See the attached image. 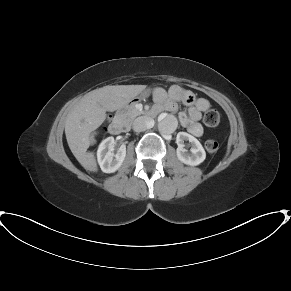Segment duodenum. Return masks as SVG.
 <instances>
[{"instance_id": "obj_1", "label": "duodenum", "mask_w": 291, "mask_h": 291, "mask_svg": "<svg viewBox=\"0 0 291 291\" xmlns=\"http://www.w3.org/2000/svg\"><path fill=\"white\" fill-rule=\"evenodd\" d=\"M150 115H153L155 114V111L154 110H151L149 112ZM108 130L110 131L111 134L113 135H119L123 132L126 131V128L124 126V123L119 120V119H116V120H113L109 125H108Z\"/></svg>"}]
</instances>
